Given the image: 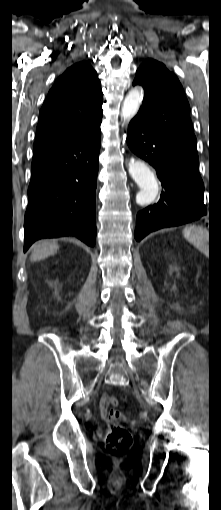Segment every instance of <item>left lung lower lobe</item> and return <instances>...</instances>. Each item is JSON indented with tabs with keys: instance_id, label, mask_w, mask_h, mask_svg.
Returning a JSON list of instances; mask_svg holds the SVG:
<instances>
[{
	"instance_id": "obj_1",
	"label": "left lung lower lobe",
	"mask_w": 221,
	"mask_h": 510,
	"mask_svg": "<svg viewBox=\"0 0 221 510\" xmlns=\"http://www.w3.org/2000/svg\"><path fill=\"white\" fill-rule=\"evenodd\" d=\"M127 143L134 154L155 168L163 186L160 200L137 214V241L150 232L189 223L207 214L196 153L159 136L137 115L129 124Z\"/></svg>"
}]
</instances>
